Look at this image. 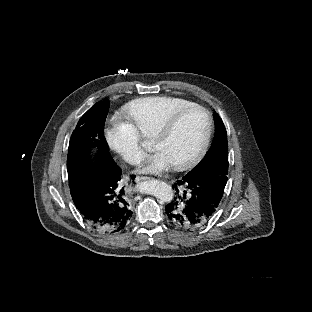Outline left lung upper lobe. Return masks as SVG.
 Returning <instances> with one entry per match:
<instances>
[{"label": "left lung upper lobe", "mask_w": 312, "mask_h": 312, "mask_svg": "<svg viewBox=\"0 0 312 312\" xmlns=\"http://www.w3.org/2000/svg\"><path fill=\"white\" fill-rule=\"evenodd\" d=\"M213 116L215 121V137L212 147L202 161L186 174V176H193L206 170L228 171V142L226 129L219 115L214 113Z\"/></svg>", "instance_id": "left-lung-upper-lobe-1"}]
</instances>
